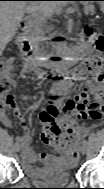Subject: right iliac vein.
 <instances>
[{"label": "right iliac vein", "instance_id": "obj_1", "mask_svg": "<svg viewBox=\"0 0 104 189\" xmlns=\"http://www.w3.org/2000/svg\"><path fill=\"white\" fill-rule=\"evenodd\" d=\"M14 150H15L16 152H20L21 146H20L19 144H15V145H14Z\"/></svg>", "mask_w": 104, "mask_h": 189}]
</instances>
